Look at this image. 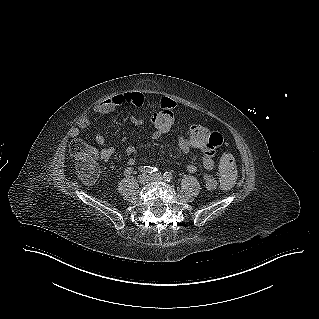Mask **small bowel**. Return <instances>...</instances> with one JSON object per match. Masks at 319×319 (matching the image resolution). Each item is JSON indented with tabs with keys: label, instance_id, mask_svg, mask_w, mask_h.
<instances>
[{
	"label": "small bowel",
	"instance_id": "c3829d8e",
	"mask_svg": "<svg viewBox=\"0 0 319 319\" xmlns=\"http://www.w3.org/2000/svg\"><path fill=\"white\" fill-rule=\"evenodd\" d=\"M146 102L145 96L141 92L132 91L126 92L118 95H114L108 99L103 100L100 102L94 109V113L97 116L98 120L104 116L105 114L114 111L115 109L124 106V105H132L136 107L143 106ZM175 102L174 99H166L161 98L159 99L158 104L153 106V111L155 113H174L175 111ZM131 122L135 125H138L140 122L138 119L133 118ZM90 124V119L88 116L82 117L79 122L78 126L71 130L70 137L75 139L79 137L81 130L86 129ZM152 133L151 136L154 139H157L161 136ZM210 140L203 145V156H202V166L206 170V173L203 176L204 183L206 187L210 190H213L217 187V179L211 173L214 167V156L216 150L220 147V142L222 141L223 131L222 129H211L210 131ZM95 142L98 146H103L105 139L104 136L97 131L95 133ZM179 145L184 154H188L190 152V148L184 143L182 135L179 137ZM116 150L114 148H103L101 150L96 151V154L99 159L101 160H108ZM126 154L128 155V159L126 161L127 167L125 172L130 174L132 172V167L136 163V148L133 146H128L125 150ZM188 171L194 173L197 171V167L194 164H190L187 167ZM220 183H221V176H220Z\"/></svg>",
	"mask_w": 319,
	"mask_h": 319
}]
</instances>
